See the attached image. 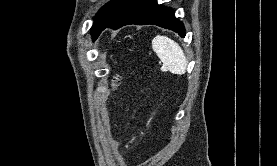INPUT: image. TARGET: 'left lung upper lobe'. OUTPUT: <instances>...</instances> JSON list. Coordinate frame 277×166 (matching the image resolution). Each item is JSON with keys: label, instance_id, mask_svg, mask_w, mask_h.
Here are the masks:
<instances>
[{"label": "left lung upper lobe", "instance_id": "1", "mask_svg": "<svg viewBox=\"0 0 277 166\" xmlns=\"http://www.w3.org/2000/svg\"><path fill=\"white\" fill-rule=\"evenodd\" d=\"M134 1L135 0H112L104 5L95 17L94 26L92 28L93 39L95 40L99 36L101 31L104 29V26L111 19H113Z\"/></svg>", "mask_w": 277, "mask_h": 166}]
</instances>
